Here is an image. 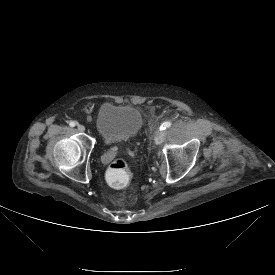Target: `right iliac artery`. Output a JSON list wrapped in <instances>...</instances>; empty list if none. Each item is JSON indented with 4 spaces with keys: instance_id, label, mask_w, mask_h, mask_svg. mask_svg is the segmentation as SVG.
<instances>
[{
    "instance_id": "obj_1",
    "label": "right iliac artery",
    "mask_w": 275,
    "mask_h": 275,
    "mask_svg": "<svg viewBox=\"0 0 275 275\" xmlns=\"http://www.w3.org/2000/svg\"><path fill=\"white\" fill-rule=\"evenodd\" d=\"M76 124H77V122H75V121H70L69 122L70 127H74V126H76Z\"/></svg>"
}]
</instances>
